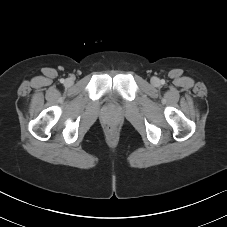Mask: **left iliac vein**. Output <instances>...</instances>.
I'll return each instance as SVG.
<instances>
[{
    "mask_svg": "<svg viewBox=\"0 0 227 227\" xmlns=\"http://www.w3.org/2000/svg\"><path fill=\"white\" fill-rule=\"evenodd\" d=\"M152 84L157 86L159 84V80L157 78L152 79Z\"/></svg>",
    "mask_w": 227,
    "mask_h": 227,
    "instance_id": "1",
    "label": "left iliac vein"
}]
</instances>
